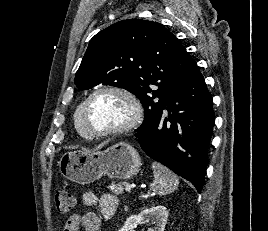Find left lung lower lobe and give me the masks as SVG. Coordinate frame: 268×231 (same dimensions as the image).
<instances>
[{
  "instance_id": "1",
  "label": "left lung lower lobe",
  "mask_w": 268,
  "mask_h": 231,
  "mask_svg": "<svg viewBox=\"0 0 268 231\" xmlns=\"http://www.w3.org/2000/svg\"><path fill=\"white\" fill-rule=\"evenodd\" d=\"M214 121L212 96L196 64L170 90L153 126L135 136L149 157L190 181L200 193Z\"/></svg>"
}]
</instances>
